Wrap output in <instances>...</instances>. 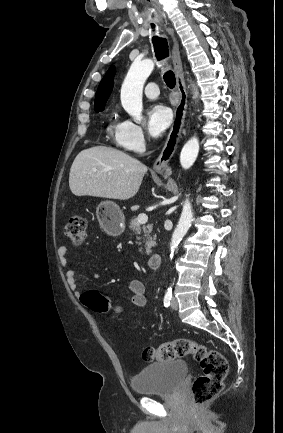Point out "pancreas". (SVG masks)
<instances>
[{"label": "pancreas", "instance_id": "1", "mask_svg": "<svg viewBox=\"0 0 283 433\" xmlns=\"http://www.w3.org/2000/svg\"><path fill=\"white\" fill-rule=\"evenodd\" d=\"M131 231H135V235H141V231L144 233V241H145V249L146 255H151V249L156 245V237H150V233H152L151 225H147V227H140V223H138L137 219H131L129 223ZM138 241L141 237H137ZM139 253H142L141 249H139Z\"/></svg>", "mask_w": 283, "mask_h": 433}]
</instances>
